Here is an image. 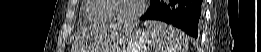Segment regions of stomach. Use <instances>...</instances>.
<instances>
[{"mask_svg": "<svg viewBox=\"0 0 261 52\" xmlns=\"http://www.w3.org/2000/svg\"><path fill=\"white\" fill-rule=\"evenodd\" d=\"M119 32L115 47L112 50L116 52H148L152 46L151 36L147 31L139 30L132 33L120 31L119 28H113Z\"/></svg>", "mask_w": 261, "mask_h": 52, "instance_id": "1", "label": "stomach"}]
</instances>
